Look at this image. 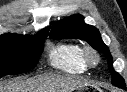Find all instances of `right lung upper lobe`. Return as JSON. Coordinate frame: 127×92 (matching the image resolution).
Masks as SVG:
<instances>
[{
	"label": "right lung upper lobe",
	"mask_w": 127,
	"mask_h": 92,
	"mask_svg": "<svg viewBox=\"0 0 127 92\" xmlns=\"http://www.w3.org/2000/svg\"><path fill=\"white\" fill-rule=\"evenodd\" d=\"M41 32L48 34V28L43 29ZM0 37H6V38H26L30 36H24V35H19V34H3Z\"/></svg>",
	"instance_id": "cb5924a9"
}]
</instances>
